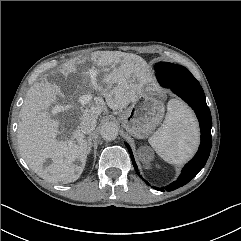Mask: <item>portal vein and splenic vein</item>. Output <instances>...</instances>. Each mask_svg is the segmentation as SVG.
<instances>
[{"label": "portal vein and splenic vein", "mask_w": 241, "mask_h": 241, "mask_svg": "<svg viewBox=\"0 0 241 241\" xmlns=\"http://www.w3.org/2000/svg\"><path fill=\"white\" fill-rule=\"evenodd\" d=\"M90 99H91V97H90L89 95H86V96L82 97L81 102H82V103H86V102H88Z\"/></svg>", "instance_id": "portal-vein-and-splenic-vein-1"}]
</instances>
